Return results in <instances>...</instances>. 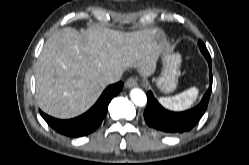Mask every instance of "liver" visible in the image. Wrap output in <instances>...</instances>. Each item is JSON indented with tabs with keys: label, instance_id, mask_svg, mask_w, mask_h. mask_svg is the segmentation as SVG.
Wrapping results in <instances>:
<instances>
[{
	"label": "liver",
	"instance_id": "obj_1",
	"mask_svg": "<svg viewBox=\"0 0 249 165\" xmlns=\"http://www.w3.org/2000/svg\"><path fill=\"white\" fill-rule=\"evenodd\" d=\"M155 30L121 32L92 26L55 32L36 63V99L46 114L69 119L87 111L105 88L103 77L137 68L150 76L162 46Z\"/></svg>",
	"mask_w": 249,
	"mask_h": 165
}]
</instances>
